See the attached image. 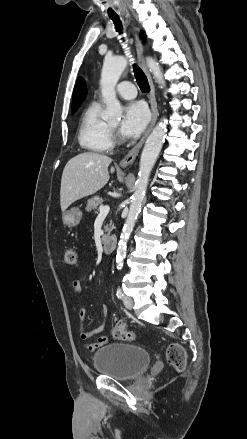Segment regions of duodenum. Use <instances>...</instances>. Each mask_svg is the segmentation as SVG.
<instances>
[{
  "label": "duodenum",
  "mask_w": 247,
  "mask_h": 439,
  "mask_svg": "<svg viewBox=\"0 0 247 439\" xmlns=\"http://www.w3.org/2000/svg\"><path fill=\"white\" fill-rule=\"evenodd\" d=\"M117 246V238L115 236H109L103 241V250L106 254L114 252Z\"/></svg>",
  "instance_id": "1"
}]
</instances>
